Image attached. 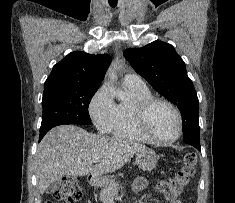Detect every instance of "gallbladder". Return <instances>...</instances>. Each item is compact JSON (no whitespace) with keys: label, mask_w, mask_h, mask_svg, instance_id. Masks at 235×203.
<instances>
[{"label":"gallbladder","mask_w":235,"mask_h":203,"mask_svg":"<svg viewBox=\"0 0 235 203\" xmlns=\"http://www.w3.org/2000/svg\"><path fill=\"white\" fill-rule=\"evenodd\" d=\"M60 185H62V180H57L56 182L52 183L46 190L47 193H52L57 190Z\"/></svg>","instance_id":"bac80fb5"}]
</instances>
